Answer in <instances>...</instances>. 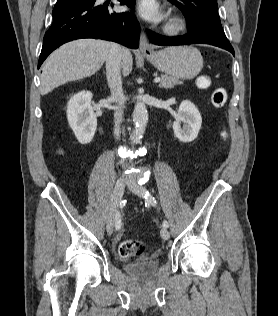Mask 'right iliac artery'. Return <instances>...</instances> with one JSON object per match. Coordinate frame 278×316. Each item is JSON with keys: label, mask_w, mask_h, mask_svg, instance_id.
<instances>
[{"label": "right iliac artery", "mask_w": 278, "mask_h": 316, "mask_svg": "<svg viewBox=\"0 0 278 316\" xmlns=\"http://www.w3.org/2000/svg\"><path fill=\"white\" fill-rule=\"evenodd\" d=\"M115 228L116 230H119L121 228V216L119 212L116 213Z\"/></svg>", "instance_id": "right-iliac-artery-1"}]
</instances>
